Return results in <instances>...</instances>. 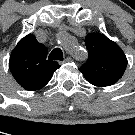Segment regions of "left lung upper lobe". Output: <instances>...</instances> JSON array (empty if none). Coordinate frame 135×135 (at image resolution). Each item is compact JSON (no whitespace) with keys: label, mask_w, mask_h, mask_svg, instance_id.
<instances>
[{"label":"left lung upper lobe","mask_w":135,"mask_h":135,"mask_svg":"<svg viewBox=\"0 0 135 135\" xmlns=\"http://www.w3.org/2000/svg\"><path fill=\"white\" fill-rule=\"evenodd\" d=\"M88 60L80 68L86 80L98 87L115 84L124 74L127 58L122 49L103 34L85 37Z\"/></svg>","instance_id":"left-lung-upper-lobe-1"}]
</instances>
